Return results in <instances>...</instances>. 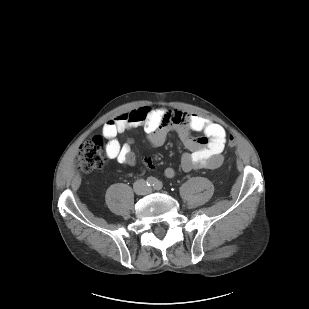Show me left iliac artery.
Masks as SVG:
<instances>
[{
    "mask_svg": "<svg viewBox=\"0 0 309 309\" xmlns=\"http://www.w3.org/2000/svg\"><path fill=\"white\" fill-rule=\"evenodd\" d=\"M162 187H163L162 182L159 181V180H156L155 185H154V188H155L156 190H161Z\"/></svg>",
    "mask_w": 309,
    "mask_h": 309,
    "instance_id": "44dca946",
    "label": "left iliac artery"
}]
</instances>
